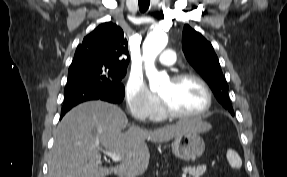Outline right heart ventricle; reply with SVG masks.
<instances>
[{"mask_svg": "<svg viewBox=\"0 0 287 177\" xmlns=\"http://www.w3.org/2000/svg\"><path fill=\"white\" fill-rule=\"evenodd\" d=\"M156 120H162L164 118V115L162 112H158L157 115L154 117Z\"/></svg>", "mask_w": 287, "mask_h": 177, "instance_id": "right-heart-ventricle-1", "label": "right heart ventricle"}]
</instances>
